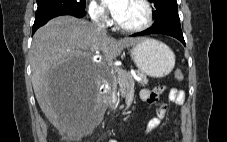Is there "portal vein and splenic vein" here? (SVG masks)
Wrapping results in <instances>:
<instances>
[{
  "label": "portal vein and splenic vein",
  "instance_id": "portal-vein-and-splenic-vein-1",
  "mask_svg": "<svg viewBox=\"0 0 227 142\" xmlns=\"http://www.w3.org/2000/svg\"><path fill=\"white\" fill-rule=\"evenodd\" d=\"M118 74H120V70L118 71ZM137 80L140 81L141 79L138 78ZM133 86H134V84H132L130 87H133Z\"/></svg>",
  "mask_w": 227,
  "mask_h": 142
}]
</instances>
